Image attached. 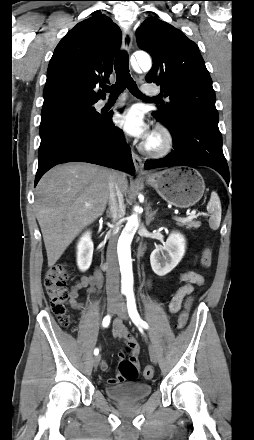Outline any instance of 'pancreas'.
<instances>
[{"mask_svg": "<svg viewBox=\"0 0 254 440\" xmlns=\"http://www.w3.org/2000/svg\"><path fill=\"white\" fill-rule=\"evenodd\" d=\"M179 225L186 226L187 229L199 228L201 226V222L191 220V221H187V222H181Z\"/></svg>", "mask_w": 254, "mask_h": 440, "instance_id": "1", "label": "pancreas"}]
</instances>
